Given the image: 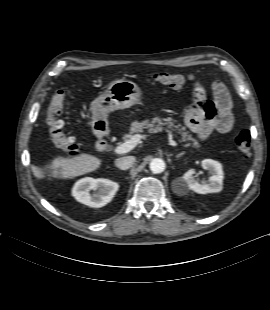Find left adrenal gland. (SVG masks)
Wrapping results in <instances>:
<instances>
[{
  "label": "left adrenal gland",
  "mask_w": 270,
  "mask_h": 310,
  "mask_svg": "<svg viewBox=\"0 0 270 310\" xmlns=\"http://www.w3.org/2000/svg\"><path fill=\"white\" fill-rule=\"evenodd\" d=\"M185 154V152H181L180 154H178L177 156H176V158L178 159V158H180L182 155H184Z\"/></svg>",
  "instance_id": "1"
}]
</instances>
